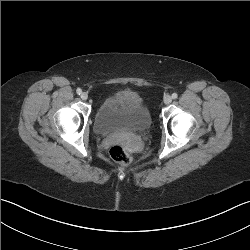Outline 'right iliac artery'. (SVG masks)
I'll return each instance as SVG.
<instances>
[{
    "label": "right iliac artery",
    "mask_w": 250,
    "mask_h": 250,
    "mask_svg": "<svg viewBox=\"0 0 250 250\" xmlns=\"http://www.w3.org/2000/svg\"><path fill=\"white\" fill-rule=\"evenodd\" d=\"M76 92H77V94H81L82 93V90L80 89V88H78L77 90H76Z\"/></svg>",
    "instance_id": "1"
}]
</instances>
